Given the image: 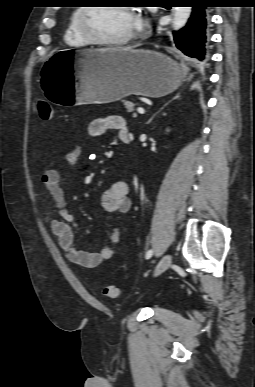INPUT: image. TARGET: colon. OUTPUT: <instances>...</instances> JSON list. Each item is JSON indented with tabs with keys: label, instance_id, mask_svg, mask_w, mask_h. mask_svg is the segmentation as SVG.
Returning <instances> with one entry per match:
<instances>
[{
	"label": "colon",
	"instance_id": "colon-1",
	"mask_svg": "<svg viewBox=\"0 0 255 387\" xmlns=\"http://www.w3.org/2000/svg\"><path fill=\"white\" fill-rule=\"evenodd\" d=\"M38 113L41 119L50 120L53 116L52 107L45 101L38 103ZM103 294L109 298H116L119 295V289L113 284H107L103 288Z\"/></svg>",
	"mask_w": 255,
	"mask_h": 387
}]
</instances>
